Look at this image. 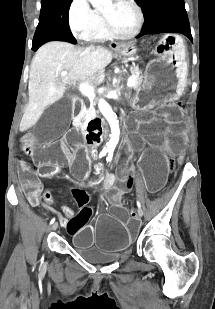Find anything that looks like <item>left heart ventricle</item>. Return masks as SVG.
Instances as JSON below:
<instances>
[{"label": "left heart ventricle", "mask_w": 215, "mask_h": 309, "mask_svg": "<svg viewBox=\"0 0 215 309\" xmlns=\"http://www.w3.org/2000/svg\"><path fill=\"white\" fill-rule=\"evenodd\" d=\"M110 25L115 29H130L132 25V14L129 10L119 7L117 10H110Z\"/></svg>", "instance_id": "1"}]
</instances>
